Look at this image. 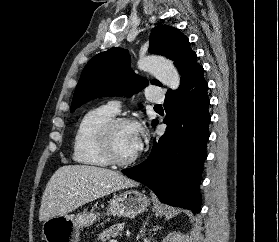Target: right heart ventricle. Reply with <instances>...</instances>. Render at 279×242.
I'll return each instance as SVG.
<instances>
[{"instance_id": "obj_1", "label": "right heart ventricle", "mask_w": 279, "mask_h": 242, "mask_svg": "<svg viewBox=\"0 0 279 242\" xmlns=\"http://www.w3.org/2000/svg\"><path fill=\"white\" fill-rule=\"evenodd\" d=\"M115 117L108 106L88 111L78 123L73 140V160L81 165L107 167L110 163L103 155L96 133L101 124Z\"/></svg>"}]
</instances>
